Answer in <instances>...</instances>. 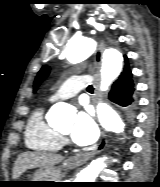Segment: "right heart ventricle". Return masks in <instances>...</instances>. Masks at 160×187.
Returning a JSON list of instances; mask_svg holds the SVG:
<instances>
[{
  "mask_svg": "<svg viewBox=\"0 0 160 187\" xmlns=\"http://www.w3.org/2000/svg\"><path fill=\"white\" fill-rule=\"evenodd\" d=\"M43 108H37L29 117L24 139L28 149L41 153H57L64 144L60 134L49 125L44 117Z\"/></svg>",
  "mask_w": 160,
  "mask_h": 187,
  "instance_id": "right-heart-ventricle-1",
  "label": "right heart ventricle"
}]
</instances>
